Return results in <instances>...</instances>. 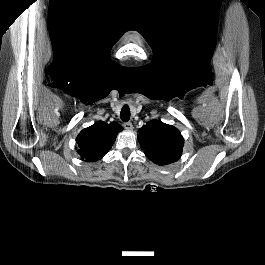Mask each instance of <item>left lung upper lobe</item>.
<instances>
[{
  "instance_id": "5c2ea615",
  "label": "left lung upper lobe",
  "mask_w": 265,
  "mask_h": 265,
  "mask_svg": "<svg viewBox=\"0 0 265 265\" xmlns=\"http://www.w3.org/2000/svg\"><path fill=\"white\" fill-rule=\"evenodd\" d=\"M138 141L145 155L158 165L176 162L182 155L184 139L177 128L159 120L139 129Z\"/></svg>"
}]
</instances>
